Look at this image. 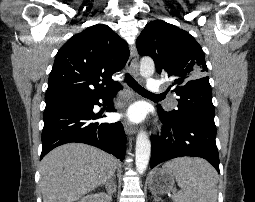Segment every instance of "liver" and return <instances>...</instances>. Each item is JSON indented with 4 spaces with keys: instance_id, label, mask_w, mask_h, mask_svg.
I'll list each match as a JSON object with an SVG mask.
<instances>
[{
    "instance_id": "6515ba94",
    "label": "liver",
    "mask_w": 255,
    "mask_h": 202,
    "mask_svg": "<svg viewBox=\"0 0 255 202\" xmlns=\"http://www.w3.org/2000/svg\"><path fill=\"white\" fill-rule=\"evenodd\" d=\"M118 161L95 147L68 143L41 161L43 202H74L112 178Z\"/></svg>"
}]
</instances>
